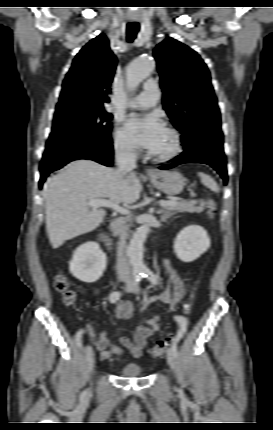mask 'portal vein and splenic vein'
<instances>
[{"label":"portal vein and splenic vein","mask_w":273,"mask_h":430,"mask_svg":"<svg viewBox=\"0 0 273 430\" xmlns=\"http://www.w3.org/2000/svg\"><path fill=\"white\" fill-rule=\"evenodd\" d=\"M176 203L177 202L174 200H169V201L160 200L159 201V204L162 207L173 206ZM87 204L91 207H94V208L110 207V208H113L115 211L120 212L122 214H130L129 210H127L123 207H120L119 205L114 204L113 202L106 200V199H90Z\"/></svg>","instance_id":"18ae733b"}]
</instances>
